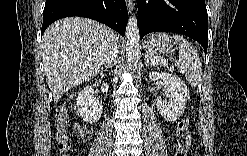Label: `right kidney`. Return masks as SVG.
I'll return each mask as SVG.
<instances>
[{
  "instance_id": "ca27d5eb",
  "label": "right kidney",
  "mask_w": 247,
  "mask_h": 156,
  "mask_svg": "<svg viewBox=\"0 0 247 156\" xmlns=\"http://www.w3.org/2000/svg\"><path fill=\"white\" fill-rule=\"evenodd\" d=\"M76 105L80 117L87 123H94L101 117L103 105L96 99L92 86H87L80 91Z\"/></svg>"
}]
</instances>
